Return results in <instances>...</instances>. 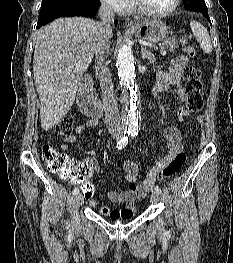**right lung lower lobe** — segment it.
Returning a JSON list of instances; mask_svg holds the SVG:
<instances>
[{"label":"right lung lower lobe","instance_id":"obj_1","mask_svg":"<svg viewBox=\"0 0 233 263\" xmlns=\"http://www.w3.org/2000/svg\"><path fill=\"white\" fill-rule=\"evenodd\" d=\"M99 6H100V1L99 0H96V1H93V0H82L81 3L76 7V9L72 13H70L68 15H65V16L91 17V16H94L97 13V10H98ZM60 17H62V16H60ZM54 19H52V20H54ZM52 20L47 21L45 23H38L37 24V28H40L41 26L51 22ZM117 22H118L117 20L114 21L115 26L117 25Z\"/></svg>","mask_w":233,"mask_h":263}]
</instances>
